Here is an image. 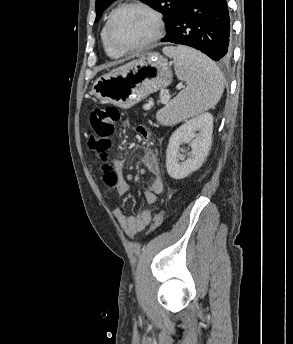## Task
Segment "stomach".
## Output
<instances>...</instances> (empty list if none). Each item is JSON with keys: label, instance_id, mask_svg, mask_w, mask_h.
<instances>
[{"label": "stomach", "instance_id": "0dacf381", "mask_svg": "<svg viewBox=\"0 0 293 344\" xmlns=\"http://www.w3.org/2000/svg\"><path fill=\"white\" fill-rule=\"evenodd\" d=\"M172 78L170 65L162 55L145 53L130 67L99 77L92 93L104 103L128 109L170 85Z\"/></svg>", "mask_w": 293, "mask_h": 344}]
</instances>
